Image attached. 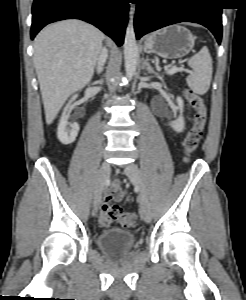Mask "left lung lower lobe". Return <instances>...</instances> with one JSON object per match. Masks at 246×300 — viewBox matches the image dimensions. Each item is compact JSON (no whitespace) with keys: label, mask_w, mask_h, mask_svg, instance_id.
<instances>
[{"label":"left lung lower lobe","mask_w":246,"mask_h":300,"mask_svg":"<svg viewBox=\"0 0 246 300\" xmlns=\"http://www.w3.org/2000/svg\"><path fill=\"white\" fill-rule=\"evenodd\" d=\"M135 32L139 39L146 33L178 22H196L222 37V7L218 0H136Z\"/></svg>","instance_id":"left-lung-lower-lobe-1"}]
</instances>
